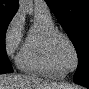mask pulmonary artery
Masks as SVG:
<instances>
[{
  "mask_svg": "<svg viewBox=\"0 0 89 89\" xmlns=\"http://www.w3.org/2000/svg\"><path fill=\"white\" fill-rule=\"evenodd\" d=\"M34 11L35 13H40L46 16L50 15V10L47 6V4L44 1L36 0L34 2Z\"/></svg>",
  "mask_w": 89,
  "mask_h": 89,
  "instance_id": "pulmonary-artery-1",
  "label": "pulmonary artery"
}]
</instances>
